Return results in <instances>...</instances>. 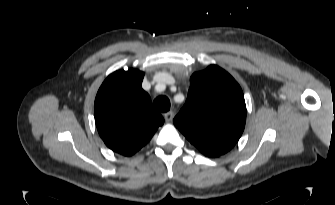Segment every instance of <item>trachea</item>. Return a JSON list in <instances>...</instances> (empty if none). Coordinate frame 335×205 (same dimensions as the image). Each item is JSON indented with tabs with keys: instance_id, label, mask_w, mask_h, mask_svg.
<instances>
[{
	"instance_id": "1",
	"label": "trachea",
	"mask_w": 335,
	"mask_h": 205,
	"mask_svg": "<svg viewBox=\"0 0 335 205\" xmlns=\"http://www.w3.org/2000/svg\"><path fill=\"white\" fill-rule=\"evenodd\" d=\"M153 106L160 112H167L170 110V100L166 96L157 97L153 101Z\"/></svg>"
}]
</instances>
